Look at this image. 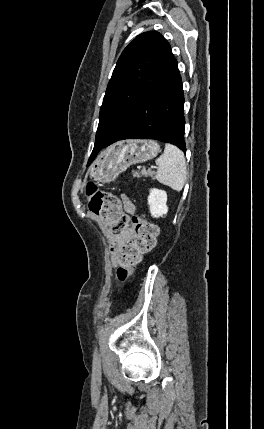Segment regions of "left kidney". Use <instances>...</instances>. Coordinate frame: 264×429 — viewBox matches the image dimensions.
<instances>
[{"instance_id": "obj_1", "label": "left kidney", "mask_w": 264, "mask_h": 429, "mask_svg": "<svg viewBox=\"0 0 264 429\" xmlns=\"http://www.w3.org/2000/svg\"><path fill=\"white\" fill-rule=\"evenodd\" d=\"M167 193L164 190L153 188L148 196V205L152 217H163L168 212Z\"/></svg>"}]
</instances>
